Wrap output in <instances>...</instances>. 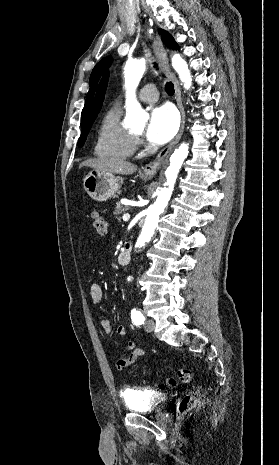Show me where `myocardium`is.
Here are the masks:
<instances>
[{
    "mask_svg": "<svg viewBox=\"0 0 279 465\" xmlns=\"http://www.w3.org/2000/svg\"><path fill=\"white\" fill-rule=\"evenodd\" d=\"M134 137L135 142H140V136L137 134H132Z\"/></svg>",
    "mask_w": 279,
    "mask_h": 465,
    "instance_id": "obj_1",
    "label": "myocardium"
}]
</instances>
